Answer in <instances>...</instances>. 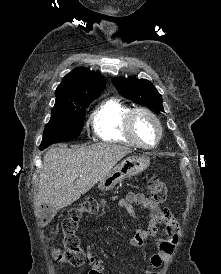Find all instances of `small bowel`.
<instances>
[{
	"mask_svg": "<svg viewBox=\"0 0 221 274\" xmlns=\"http://www.w3.org/2000/svg\"><path fill=\"white\" fill-rule=\"evenodd\" d=\"M133 204L140 205L148 212L147 227L138 228L130 238L133 247H142L149 239H157V249L152 253L145 269V274H154V269L158 268L165 260L174 253L179 226L172 212L165 208L161 209L158 204L141 193L131 192L119 201V206L124 208L129 215L138 218ZM159 225H163L162 237H159ZM88 262L92 265L88 274H108L101 260L88 249Z\"/></svg>",
	"mask_w": 221,
	"mask_h": 274,
	"instance_id": "c3829d8e",
	"label": "small bowel"
}]
</instances>
